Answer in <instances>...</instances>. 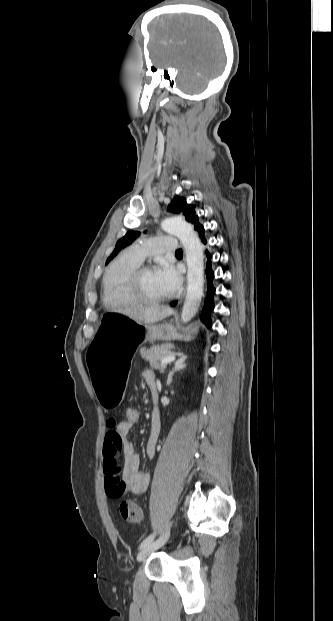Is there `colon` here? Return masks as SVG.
I'll return each instance as SVG.
<instances>
[{
  "instance_id": "5ec220e1",
  "label": "colon",
  "mask_w": 333,
  "mask_h": 621,
  "mask_svg": "<svg viewBox=\"0 0 333 621\" xmlns=\"http://www.w3.org/2000/svg\"><path fill=\"white\" fill-rule=\"evenodd\" d=\"M125 421L135 425L140 419V412L137 407L129 405L125 408ZM120 514L129 523H138L142 519L140 507L133 501L125 500L120 504Z\"/></svg>"
}]
</instances>
